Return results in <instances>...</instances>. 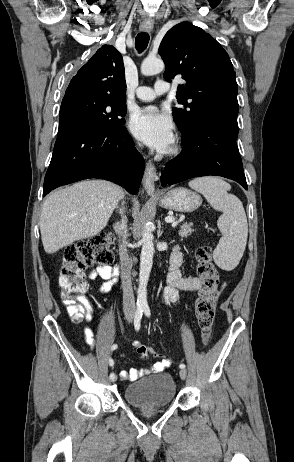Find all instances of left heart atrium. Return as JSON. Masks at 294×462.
Returning <instances> with one entry per match:
<instances>
[{
	"label": "left heart atrium",
	"instance_id": "obj_1",
	"mask_svg": "<svg viewBox=\"0 0 294 462\" xmlns=\"http://www.w3.org/2000/svg\"><path fill=\"white\" fill-rule=\"evenodd\" d=\"M131 132L150 148L165 153L175 140L172 120L154 106L136 110L130 120Z\"/></svg>",
	"mask_w": 294,
	"mask_h": 462
}]
</instances>
